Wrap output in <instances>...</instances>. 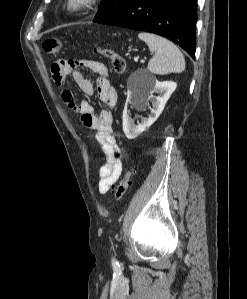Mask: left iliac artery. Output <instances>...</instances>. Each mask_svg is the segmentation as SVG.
<instances>
[{
    "mask_svg": "<svg viewBox=\"0 0 247 299\" xmlns=\"http://www.w3.org/2000/svg\"><path fill=\"white\" fill-rule=\"evenodd\" d=\"M112 263H113V266L118 265V263L116 262L115 258L112 259Z\"/></svg>",
    "mask_w": 247,
    "mask_h": 299,
    "instance_id": "obj_1",
    "label": "left iliac artery"
}]
</instances>
